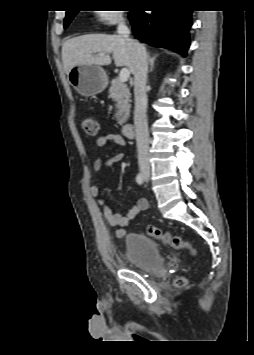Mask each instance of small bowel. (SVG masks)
Here are the masks:
<instances>
[{
	"label": "small bowel",
	"mask_w": 254,
	"mask_h": 355,
	"mask_svg": "<svg viewBox=\"0 0 254 355\" xmlns=\"http://www.w3.org/2000/svg\"><path fill=\"white\" fill-rule=\"evenodd\" d=\"M109 144H117L124 146L126 144L125 139L118 134H104L97 138L96 145L98 147H104ZM123 159L122 154L114 155L107 159L97 158L93 163V170L98 172L100 170H105L114 165L115 163ZM90 194L93 198L97 199L99 205L102 208V215L105 221L112 227L117 228L115 235L121 238L125 235V227L130 221L134 220L142 211L148 209V201L145 198H139L134 205L130 207L126 214H121L114 212L107 204L105 199L100 195L97 186L90 187Z\"/></svg>",
	"instance_id": "1"
}]
</instances>
